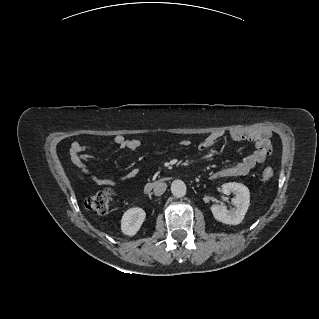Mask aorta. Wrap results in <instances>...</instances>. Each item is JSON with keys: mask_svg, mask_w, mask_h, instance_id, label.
Listing matches in <instances>:
<instances>
[{"mask_svg": "<svg viewBox=\"0 0 319 319\" xmlns=\"http://www.w3.org/2000/svg\"><path fill=\"white\" fill-rule=\"evenodd\" d=\"M186 190V185L182 180H174L171 184V192L177 198L184 197L186 195Z\"/></svg>", "mask_w": 319, "mask_h": 319, "instance_id": "obj_1", "label": "aorta"}]
</instances>
